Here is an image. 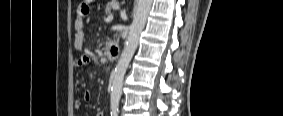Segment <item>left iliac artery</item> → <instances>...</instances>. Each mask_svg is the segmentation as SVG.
<instances>
[{"label":"left iliac artery","mask_w":283,"mask_h":116,"mask_svg":"<svg viewBox=\"0 0 283 116\" xmlns=\"http://www.w3.org/2000/svg\"><path fill=\"white\" fill-rule=\"evenodd\" d=\"M119 114V103L112 102L111 103V116H118Z\"/></svg>","instance_id":"left-iliac-artery-1"}]
</instances>
